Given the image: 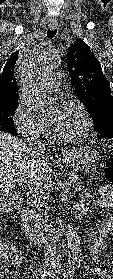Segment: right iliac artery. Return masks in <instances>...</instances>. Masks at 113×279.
Segmentation results:
<instances>
[{
	"mask_svg": "<svg viewBox=\"0 0 113 279\" xmlns=\"http://www.w3.org/2000/svg\"><path fill=\"white\" fill-rule=\"evenodd\" d=\"M46 275H47V271L42 270L40 268L36 269L33 272V278L34 279H44Z\"/></svg>",
	"mask_w": 113,
	"mask_h": 279,
	"instance_id": "right-iliac-artery-1",
	"label": "right iliac artery"
}]
</instances>
